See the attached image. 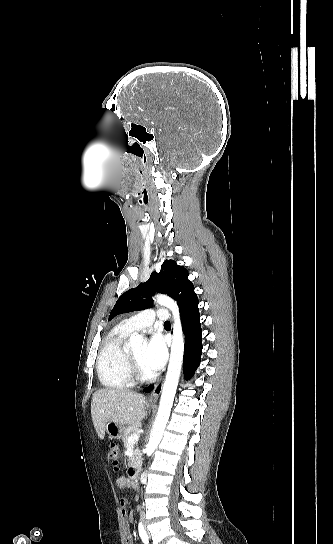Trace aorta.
Listing matches in <instances>:
<instances>
[{
    "instance_id": "obj_1",
    "label": "aorta",
    "mask_w": 333,
    "mask_h": 544,
    "mask_svg": "<svg viewBox=\"0 0 333 544\" xmlns=\"http://www.w3.org/2000/svg\"><path fill=\"white\" fill-rule=\"evenodd\" d=\"M156 300L160 305L165 306L172 312L174 316V326L170 360L160 399L159 410L151 431L149 442L145 449L147 456H151L154 453L162 439L173 405L184 354V336L177 303L163 294L156 295ZM129 345L132 349H141L143 347V337L139 334H132L129 339Z\"/></svg>"
}]
</instances>
